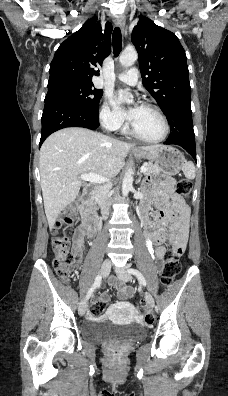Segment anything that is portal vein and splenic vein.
I'll list each match as a JSON object with an SVG mask.
<instances>
[{
  "mask_svg": "<svg viewBox=\"0 0 228 396\" xmlns=\"http://www.w3.org/2000/svg\"><path fill=\"white\" fill-rule=\"evenodd\" d=\"M146 170H147L146 166H141L140 172L144 173ZM79 178L81 180L88 181V182L95 183V184H100V183L106 182L108 180L107 178L97 175V174H94L92 172H90L88 174H82V175H80Z\"/></svg>",
  "mask_w": 228,
  "mask_h": 396,
  "instance_id": "portal-vein-and-splenic-vein-1",
  "label": "portal vein and splenic vein"
}]
</instances>
